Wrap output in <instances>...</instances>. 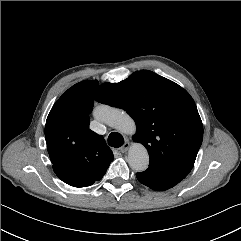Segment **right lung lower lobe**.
<instances>
[{
  "label": "right lung lower lobe",
  "instance_id": "right-lung-lower-lobe-1",
  "mask_svg": "<svg viewBox=\"0 0 241 241\" xmlns=\"http://www.w3.org/2000/svg\"><path fill=\"white\" fill-rule=\"evenodd\" d=\"M55 174L65 183L74 187H86L92 185L95 181H99L101 177H91L87 175H81L73 173L61 167L53 168Z\"/></svg>",
  "mask_w": 241,
  "mask_h": 241
}]
</instances>
